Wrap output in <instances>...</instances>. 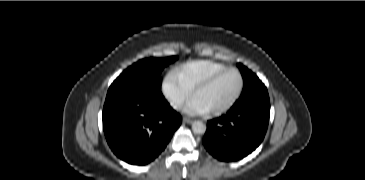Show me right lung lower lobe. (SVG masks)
<instances>
[{
  "instance_id": "98d812e1",
  "label": "right lung lower lobe",
  "mask_w": 365,
  "mask_h": 180,
  "mask_svg": "<svg viewBox=\"0 0 365 180\" xmlns=\"http://www.w3.org/2000/svg\"><path fill=\"white\" fill-rule=\"evenodd\" d=\"M181 121L158 88H130L107 96L103 108V129L111 150L135 165L153 161Z\"/></svg>"
}]
</instances>
